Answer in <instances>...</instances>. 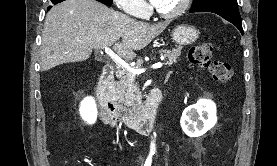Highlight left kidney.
Returning <instances> with one entry per match:
<instances>
[{
  "label": "left kidney",
  "mask_w": 277,
  "mask_h": 166,
  "mask_svg": "<svg viewBox=\"0 0 277 166\" xmlns=\"http://www.w3.org/2000/svg\"><path fill=\"white\" fill-rule=\"evenodd\" d=\"M217 123L216 105L208 99H199L196 104L187 107L181 117V127L190 137H200Z\"/></svg>",
  "instance_id": "1"
}]
</instances>
